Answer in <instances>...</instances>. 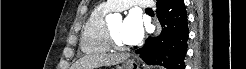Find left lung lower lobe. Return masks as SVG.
<instances>
[{
    "label": "left lung lower lobe",
    "mask_w": 246,
    "mask_h": 69,
    "mask_svg": "<svg viewBox=\"0 0 246 69\" xmlns=\"http://www.w3.org/2000/svg\"><path fill=\"white\" fill-rule=\"evenodd\" d=\"M158 18L163 27L156 38L149 37L135 52L148 65H161L166 69H184L187 52L188 25L183 0H158Z\"/></svg>",
    "instance_id": "0a47b994"
}]
</instances>
